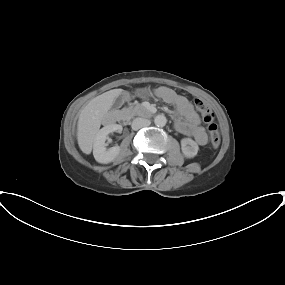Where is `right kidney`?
Wrapping results in <instances>:
<instances>
[{
  "label": "right kidney",
  "instance_id": "right-kidney-1",
  "mask_svg": "<svg viewBox=\"0 0 285 285\" xmlns=\"http://www.w3.org/2000/svg\"><path fill=\"white\" fill-rule=\"evenodd\" d=\"M122 126L118 124H109L104 126L102 129L99 130L97 133L94 144H93V155L97 162L102 164H108L114 161L119 153L120 147L114 146L110 149L106 148L105 141L108 138V134L112 132H122Z\"/></svg>",
  "mask_w": 285,
  "mask_h": 285
}]
</instances>
